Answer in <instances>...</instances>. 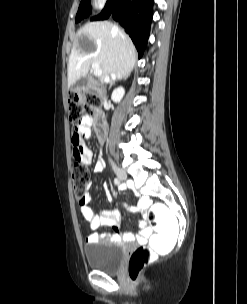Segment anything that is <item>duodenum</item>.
<instances>
[{
  "instance_id": "410a0bca",
  "label": "duodenum",
  "mask_w": 247,
  "mask_h": 304,
  "mask_svg": "<svg viewBox=\"0 0 247 304\" xmlns=\"http://www.w3.org/2000/svg\"><path fill=\"white\" fill-rule=\"evenodd\" d=\"M105 120H107V115H103V114L97 115L96 119L94 120V123H95L94 132L98 137H100V138H98V141H101V142L104 140L103 138H107V136L109 134L105 128L106 127Z\"/></svg>"
}]
</instances>
